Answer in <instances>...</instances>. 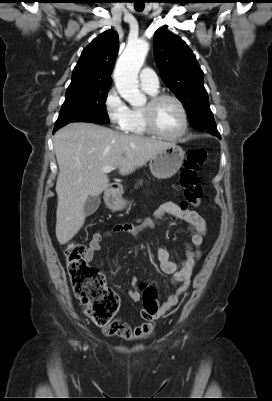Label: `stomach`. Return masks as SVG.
Here are the masks:
<instances>
[{"label":"stomach","mask_w":272,"mask_h":401,"mask_svg":"<svg viewBox=\"0 0 272 401\" xmlns=\"http://www.w3.org/2000/svg\"><path fill=\"white\" fill-rule=\"evenodd\" d=\"M185 152L173 143L159 150L151 159L149 167L154 177L158 179H168L180 169ZM105 203L111 210L119 211L126 208L128 201L121 195L107 196Z\"/></svg>","instance_id":"1"}]
</instances>
